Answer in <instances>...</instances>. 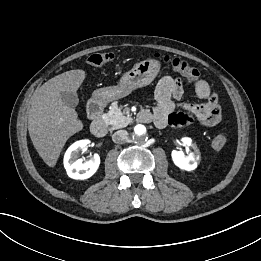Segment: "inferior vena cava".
Segmentation results:
<instances>
[{"label": "inferior vena cava", "mask_w": 261, "mask_h": 261, "mask_svg": "<svg viewBox=\"0 0 261 261\" xmlns=\"http://www.w3.org/2000/svg\"><path fill=\"white\" fill-rule=\"evenodd\" d=\"M128 138V133L126 130H118L112 135V140L114 143L122 144Z\"/></svg>", "instance_id": "602c4592"}]
</instances>
